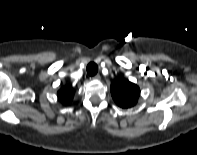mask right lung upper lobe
Wrapping results in <instances>:
<instances>
[{
  "mask_svg": "<svg viewBox=\"0 0 197 155\" xmlns=\"http://www.w3.org/2000/svg\"><path fill=\"white\" fill-rule=\"evenodd\" d=\"M74 96V91L72 88L65 86L62 87L59 91H58V97L60 99V101L64 104H69Z\"/></svg>",
  "mask_w": 197,
  "mask_h": 155,
  "instance_id": "obj_1",
  "label": "right lung upper lobe"
}]
</instances>
